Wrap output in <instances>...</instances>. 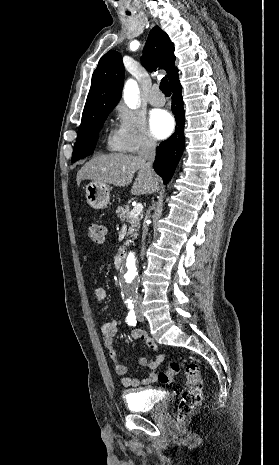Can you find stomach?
<instances>
[{
  "label": "stomach",
  "instance_id": "0dacf381",
  "mask_svg": "<svg viewBox=\"0 0 279 465\" xmlns=\"http://www.w3.org/2000/svg\"><path fill=\"white\" fill-rule=\"evenodd\" d=\"M87 203L96 210L107 207L110 199V189L107 184L91 181L85 186Z\"/></svg>",
  "mask_w": 279,
  "mask_h": 465
}]
</instances>
